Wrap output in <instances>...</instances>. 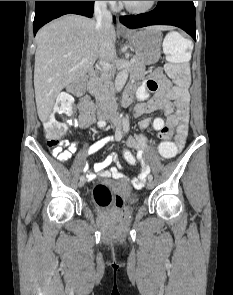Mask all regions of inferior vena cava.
Instances as JSON below:
<instances>
[{
    "label": "inferior vena cava",
    "instance_id": "obj_1",
    "mask_svg": "<svg viewBox=\"0 0 233 295\" xmlns=\"http://www.w3.org/2000/svg\"><path fill=\"white\" fill-rule=\"evenodd\" d=\"M94 15L96 18V28L100 32V52L102 59L111 61L115 58L116 51L109 37L110 28L112 27V15L107 9V1H95ZM105 103L110 115L117 117L115 88L111 79L108 81Z\"/></svg>",
    "mask_w": 233,
    "mask_h": 295
}]
</instances>
